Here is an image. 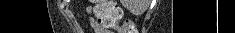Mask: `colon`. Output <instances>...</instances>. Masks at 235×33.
<instances>
[{
  "label": "colon",
  "mask_w": 235,
  "mask_h": 33,
  "mask_svg": "<svg viewBox=\"0 0 235 33\" xmlns=\"http://www.w3.org/2000/svg\"><path fill=\"white\" fill-rule=\"evenodd\" d=\"M96 3L94 12L98 22L107 29H116L121 19V9L112 0H94ZM122 33H135L134 25L131 21H126L121 28Z\"/></svg>",
  "instance_id": "1"
}]
</instances>
